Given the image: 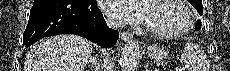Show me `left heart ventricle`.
Instances as JSON below:
<instances>
[{
    "label": "left heart ventricle",
    "mask_w": 230,
    "mask_h": 71,
    "mask_svg": "<svg viewBox=\"0 0 230 71\" xmlns=\"http://www.w3.org/2000/svg\"><path fill=\"white\" fill-rule=\"evenodd\" d=\"M147 22L154 29L175 31L181 29L186 18L184 13L175 4L165 0L146 1Z\"/></svg>",
    "instance_id": "left-heart-ventricle-1"
}]
</instances>
